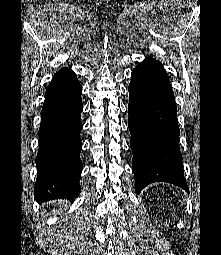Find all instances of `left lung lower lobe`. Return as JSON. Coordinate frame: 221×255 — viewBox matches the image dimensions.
I'll list each match as a JSON object with an SVG mask.
<instances>
[{
  "instance_id": "0a47b994",
  "label": "left lung lower lobe",
  "mask_w": 221,
  "mask_h": 255,
  "mask_svg": "<svg viewBox=\"0 0 221 255\" xmlns=\"http://www.w3.org/2000/svg\"><path fill=\"white\" fill-rule=\"evenodd\" d=\"M129 95L128 127L137 194L153 182L172 183L189 192L179 149L174 94L159 61L147 57L135 67Z\"/></svg>"
}]
</instances>
